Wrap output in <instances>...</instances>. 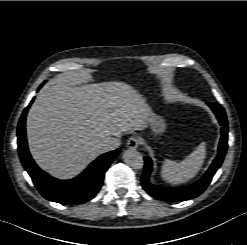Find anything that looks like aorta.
Returning <instances> with one entry per match:
<instances>
[{
    "label": "aorta",
    "mask_w": 247,
    "mask_h": 245,
    "mask_svg": "<svg viewBox=\"0 0 247 245\" xmlns=\"http://www.w3.org/2000/svg\"><path fill=\"white\" fill-rule=\"evenodd\" d=\"M122 159L128 166H131L135 169H138L142 166V157L140 153L134 148L125 150L122 154Z\"/></svg>",
    "instance_id": "762f6f07"
}]
</instances>
